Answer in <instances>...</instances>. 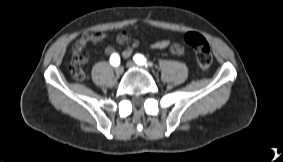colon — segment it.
Masks as SVG:
<instances>
[{"label":"colon","mask_w":283,"mask_h":162,"mask_svg":"<svg viewBox=\"0 0 283 162\" xmlns=\"http://www.w3.org/2000/svg\"><path fill=\"white\" fill-rule=\"evenodd\" d=\"M185 42L193 48L196 54L197 63L202 71H206L212 64V53L207 40L199 33L189 32L184 37ZM72 77L76 80H83L85 74L82 69H72Z\"/></svg>","instance_id":"5ec220e1"}]
</instances>
